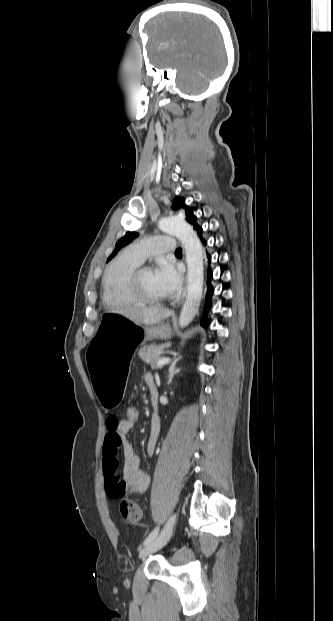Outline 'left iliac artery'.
Returning a JSON list of instances; mask_svg holds the SVG:
<instances>
[{
    "label": "left iliac artery",
    "mask_w": 333,
    "mask_h": 621,
    "mask_svg": "<svg viewBox=\"0 0 333 621\" xmlns=\"http://www.w3.org/2000/svg\"><path fill=\"white\" fill-rule=\"evenodd\" d=\"M159 532V527H156L144 540L143 545L146 546L147 544H149L151 541H153Z\"/></svg>",
    "instance_id": "1"
}]
</instances>
